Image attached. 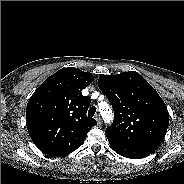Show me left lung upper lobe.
Segmentation results:
<instances>
[{
  "mask_svg": "<svg viewBox=\"0 0 184 184\" xmlns=\"http://www.w3.org/2000/svg\"><path fill=\"white\" fill-rule=\"evenodd\" d=\"M98 86L114 110L106 135L153 153L169 125L167 107L156 90L135 71L102 75Z\"/></svg>",
  "mask_w": 184,
  "mask_h": 184,
  "instance_id": "left-lung-upper-lobe-1",
  "label": "left lung upper lobe"
}]
</instances>
